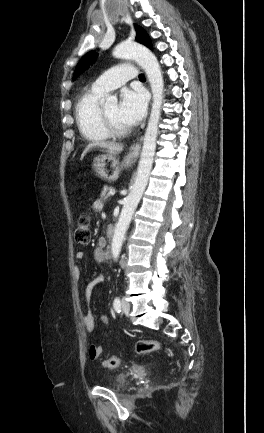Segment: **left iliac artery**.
Returning <instances> with one entry per match:
<instances>
[{
    "label": "left iliac artery",
    "instance_id": "44dca946",
    "mask_svg": "<svg viewBox=\"0 0 264 433\" xmlns=\"http://www.w3.org/2000/svg\"><path fill=\"white\" fill-rule=\"evenodd\" d=\"M113 307H114L115 311H117L118 313L121 311L120 310L121 309V301L118 297L114 299Z\"/></svg>",
    "mask_w": 264,
    "mask_h": 433
}]
</instances>
